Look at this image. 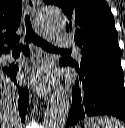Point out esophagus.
I'll return each instance as SVG.
<instances>
[{"label": "esophagus", "instance_id": "34e87169", "mask_svg": "<svg viewBox=\"0 0 125 128\" xmlns=\"http://www.w3.org/2000/svg\"><path fill=\"white\" fill-rule=\"evenodd\" d=\"M26 5H27V9H28L29 13L31 14L32 17H34L36 1L35 0H26ZM34 28L37 32L39 31V29L35 23H34ZM36 92L40 97L46 99L50 93V87L49 86L48 87H37L36 86Z\"/></svg>", "mask_w": 125, "mask_h": 128}]
</instances>
